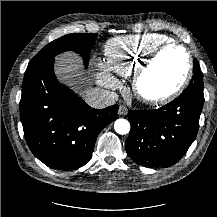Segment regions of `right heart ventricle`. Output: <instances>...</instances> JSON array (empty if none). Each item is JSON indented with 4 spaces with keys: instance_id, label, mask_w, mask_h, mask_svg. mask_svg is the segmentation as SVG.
<instances>
[{
    "instance_id": "e07e8e85",
    "label": "right heart ventricle",
    "mask_w": 217,
    "mask_h": 217,
    "mask_svg": "<svg viewBox=\"0 0 217 217\" xmlns=\"http://www.w3.org/2000/svg\"><path fill=\"white\" fill-rule=\"evenodd\" d=\"M171 39L158 33L127 35L110 39L105 45V63L110 71L129 77L157 47Z\"/></svg>"
}]
</instances>
